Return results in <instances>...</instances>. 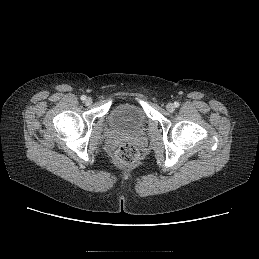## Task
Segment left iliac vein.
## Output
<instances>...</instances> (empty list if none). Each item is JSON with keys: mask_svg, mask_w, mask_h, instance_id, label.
<instances>
[{"mask_svg": "<svg viewBox=\"0 0 259 259\" xmlns=\"http://www.w3.org/2000/svg\"><path fill=\"white\" fill-rule=\"evenodd\" d=\"M166 109H167V111H169V112H173L174 109H175V107H174V105H173L172 103H168V104L166 105Z\"/></svg>", "mask_w": 259, "mask_h": 259, "instance_id": "obj_1", "label": "left iliac vein"}]
</instances>
